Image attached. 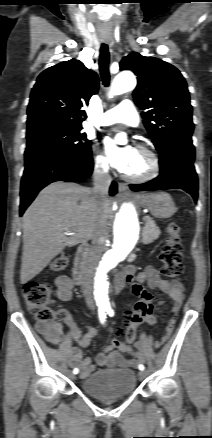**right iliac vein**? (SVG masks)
I'll return each instance as SVG.
<instances>
[{
	"instance_id": "right-iliac-vein-1",
	"label": "right iliac vein",
	"mask_w": 212,
	"mask_h": 438,
	"mask_svg": "<svg viewBox=\"0 0 212 438\" xmlns=\"http://www.w3.org/2000/svg\"><path fill=\"white\" fill-rule=\"evenodd\" d=\"M70 378L74 379V378H75V376H74V375H70Z\"/></svg>"
}]
</instances>
